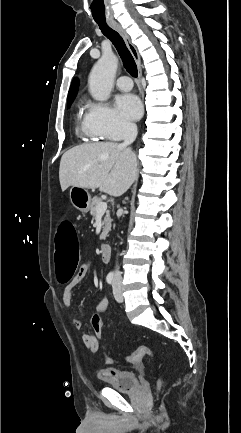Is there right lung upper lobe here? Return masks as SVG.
<instances>
[{"mask_svg": "<svg viewBox=\"0 0 241 433\" xmlns=\"http://www.w3.org/2000/svg\"><path fill=\"white\" fill-rule=\"evenodd\" d=\"M77 89H78V81L75 80L73 82V84L71 85L69 93H68V104H71L74 96L76 95Z\"/></svg>", "mask_w": 241, "mask_h": 433, "instance_id": "cb5924a9", "label": "right lung upper lobe"}]
</instances>
